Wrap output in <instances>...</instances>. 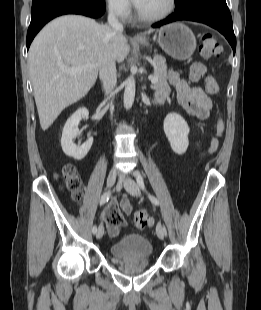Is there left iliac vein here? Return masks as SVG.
<instances>
[{
  "instance_id": "4c4485c4",
  "label": "left iliac vein",
  "mask_w": 261,
  "mask_h": 310,
  "mask_svg": "<svg viewBox=\"0 0 261 310\" xmlns=\"http://www.w3.org/2000/svg\"><path fill=\"white\" fill-rule=\"evenodd\" d=\"M120 181L123 182L124 187L129 194L132 196L140 195L139 187L131 177H121ZM156 234L160 239H164L165 237V231L161 222H158L156 225Z\"/></svg>"
}]
</instances>
